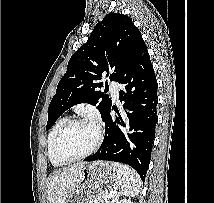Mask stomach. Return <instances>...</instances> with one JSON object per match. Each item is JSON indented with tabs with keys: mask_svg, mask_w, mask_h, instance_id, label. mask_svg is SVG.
I'll use <instances>...</instances> for the list:
<instances>
[{
	"mask_svg": "<svg viewBox=\"0 0 214 203\" xmlns=\"http://www.w3.org/2000/svg\"><path fill=\"white\" fill-rule=\"evenodd\" d=\"M116 171L106 162H92L83 167L77 188L66 203H102L114 186Z\"/></svg>",
	"mask_w": 214,
	"mask_h": 203,
	"instance_id": "stomach-1",
	"label": "stomach"
}]
</instances>
